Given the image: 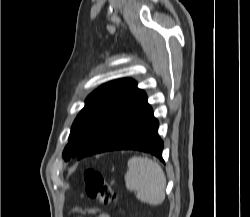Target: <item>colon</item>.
<instances>
[{
  "mask_svg": "<svg viewBox=\"0 0 250 217\" xmlns=\"http://www.w3.org/2000/svg\"><path fill=\"white\" fill-rule=\"evenodd\" d=\"M86 192L92 199L104 206H110L117 200L112 184L101 172L88 168L84 172Z\"/></svg>",
  "mask_w": 250,
  "mask_h": 217,
  "instance_id": "colon-1",
  "label": "colon"
}]
</instances>
